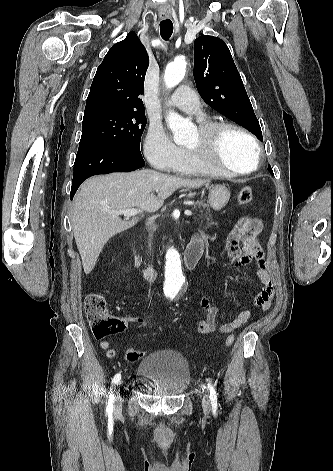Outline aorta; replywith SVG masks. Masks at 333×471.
Masks as SVG:
<instances>
[{
  "instance_id": "762f6f07",
  "label": "aorta",
  "mask_w": 333,
  "mask_h": 471,
  "mask_svg": "<svg viewBox=\"0 0 333 471\" xmlns=\"http://www.w3.org/2000/svg\"><path fill=\"white\" fill-rule=\"evenodd\" d=\"M186 61L183 57H177L169 63L165 69L164 82L168 89L178 85L184 78L186 72ZM167 124L173 133L175 143L181 144L187 141L193 125L179 114L169 112ZM166 280L164 292L168 295H180L184 291V275L179 252L174 248H169L166 252Z\"/></svg>"
}]
</instances>
